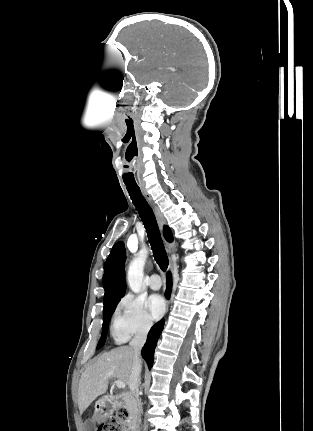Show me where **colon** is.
<instances>
[{
	"instance_id": "obj_1",
	"label": "colon",
	"mask_w": 313,
	"mask_h": 431,
	"mask_svg": "<svg viewBox=\"0 0 313 431\" xmlns=\"http://www.w3.org/2000/svg\"><path fill=\"white\" fill-rule=\"evenodd\" d=\"M128 417V412L121 408L100 425L98 431H129Z\"/></svg>"
}]
</instances>
